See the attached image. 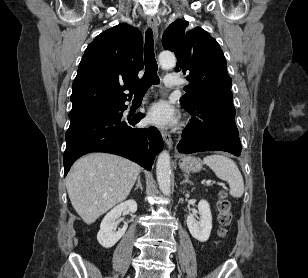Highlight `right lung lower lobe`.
I'll return each instance as SVG.
<instances>
[{"instance_id": "98d812e1", "label": "right lung lower lobe", "mask_w": 308, "mask_h": 278, "mask_svg": "<svg viewBox=\"0 0 308 278\" xmlns=\"http://www.w3.org/2000/svg\"><path fill=\"white\" fill-rule=\"evenodd\" d=\"M126 108L120 103L70 118L63 156L64 176L76 159L90 152L117 154L151 169L155 155L163 148L162 137L153 127L134 128L144 115L124 118Z\"/></svg>"}]
</instances>
